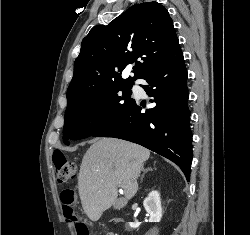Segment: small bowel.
<instances>
[{
  "instance_id": "small-bowel-1",
  "label": "small bowel",
  "mask_w": 250,
  "mask_h": 235,
  "mask_svg": "<svg viewBox=\"0 0 250 235\" xmlns=\"http://www.w3.org/2000/svg\"><path fill=\"white\" fill-rule=\"evenodd\" d=\"M106 235H116V234H114V233H108V234H106Z\"/></svg>"
}]
</instances>
